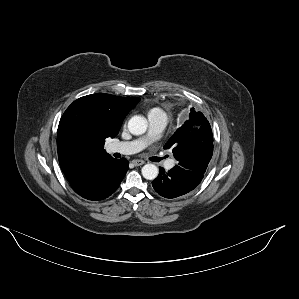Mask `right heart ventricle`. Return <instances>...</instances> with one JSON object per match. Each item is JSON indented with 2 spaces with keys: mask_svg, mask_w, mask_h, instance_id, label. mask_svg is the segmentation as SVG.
Masks as SVG:
<instances>
[{
  "mask_svg": "<svg viewBox=\"0 0 299 299\" xmlns=\"http://www.w3.org/2000/svg\"><path fill=\"white\" fill-rule=\"evenodd\" d=\"M160 111H162L160 108H158V107H153V108H151V109L148 111V116L151 115V114H153V113L160 112Z\"/></svg>",
  "mask_w": 299,
  "mask_h": 299,
  "instance_id": "right-heart-ventricle-1",
  "label": "right heart ventricle"
}]
</instances>
